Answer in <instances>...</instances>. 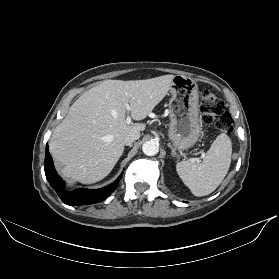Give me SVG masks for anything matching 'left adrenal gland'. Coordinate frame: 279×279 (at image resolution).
<instances>
[{
    "label": "left adrenal gland",
    "instance_id": "obj_1",
    "mask_svg": "<svg viewBox=\"0 0 279 279\" xmlns=\"http://www.w3.org/2000/svg\"><path fill=\"white\" fill-rule=\"evenodd\" d=\"M168 146L171 148V155H172L173 157L178 158L179 155L176 153L175 149H173L172 146H170V144H168Z\"/></svg>",
    "mask_w": 279,
    "mask_h": 279
}]
</instances>
